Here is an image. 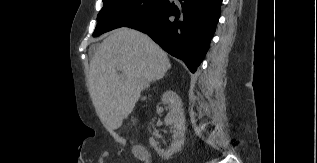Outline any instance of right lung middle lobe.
<instances>
[{"instance_id":"1","label":"right lung middle lobe","mask_w":317,"mask_h":163,"mask_svg":"<svg viewBox=\"0 0 317 163\" xmlns=\"http://www.w3.org/2000/svg\"><path fill=\"white\" fill-rule=\"evenodd\" d=\"M103 8L97 16L98 24L93 33L99 36L110 30L126 26L150 14L167 0H102Z\"/></svg>"}]
</instances>
